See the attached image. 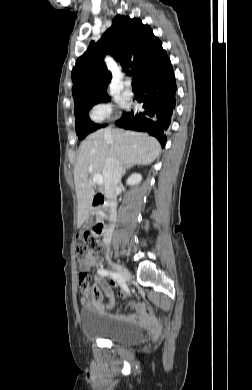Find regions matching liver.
<instances>
[{
    "mask_svg": "<svg viewBox=\"0 0 252 390\" xmlns=\"http://www.w3.org/2000/svg\"><path fill=\"white\" fill-rule=\"evenodd\" d=\"M161 153L159 142L144 133L101 129L89 136L79 147V156L74 168V183L78 199L80 228L89 216L94 194L89 176L101 174L107 158L113 157L122 165H148ZM89 167L92 171H89Z\"/></svg>",
    "mask_w": 252,
    "mask_h": 390,
    "instance_id": "1",
    "label": "liver"
}]
</instances>
